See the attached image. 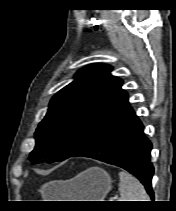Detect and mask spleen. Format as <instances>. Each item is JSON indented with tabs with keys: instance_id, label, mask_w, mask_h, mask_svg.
<instances>
[{
	"instance_id": "spleen-1",
	"label": "spleen",
	"mask_w": 176,
	"mask_h": 211,
	"mask_svg": "<svg viewBox=\"0 0 176 211\" xmlns=\"http://www.w3.org/2000/svg\"><path fill=\"white\" fill-rule=\"evenodd\" d=\"M118 201H150L144 186L134 176L126 171L119 172Z\"/></svg>"
}]
</instances>
